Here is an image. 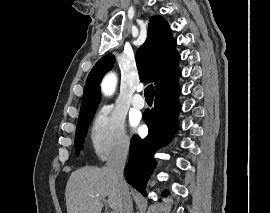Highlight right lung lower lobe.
I'll use <instances>...</instances> for the list:
<instances>
[{
	"label": "right lung lower lobe",
	"mask_w": 270,
	"mask_h": 213,
	"mask_svg": "<svg viewBox=\"0 0 270 213\" xmlns=\"http://www.w3.org/2000/svg\"><path fill=\"white\" fill-rule=\"evenodd\" d=\"M179 77L180 73L178 72L155 89L154 108L146 110L143 114L149 134L144 139L134 136L131 141L125 177L127 182L144 196H146L147 181L155 166L153 154L162 145L169 142L177 127Z\"/></svg>",
	"instance_id": "right-lung-lower-lobe-1"
}]
</instances>
